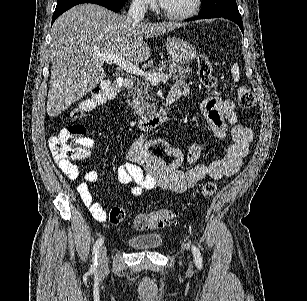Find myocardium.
<instances>
[{
	"mask_svg": "<svg viewBox=\"0 0 307 301\" xmlns=\"http://www.w3.org/2000/svg\"><path fill=\"white\" fill-rule=\"evenodd\" d=\"M200 0H193L186 11H172L168 4H160L159 0L154 12H163L164 18H172L173 22H182L183 18L193 17Z\"/></svg>",
	"mask_w": 307,
	"mask_h": 301,
	"instance_id": "myocardium-1",
	"label": "myocardium"
}]
</instances>
